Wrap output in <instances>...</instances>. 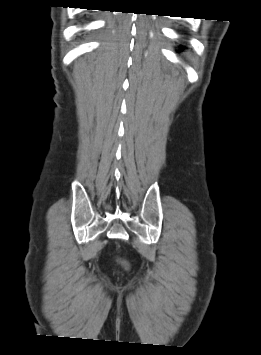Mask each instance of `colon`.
I'll use <instances>...</instances> for the list:
<instances>
[{
    "instance_id": "5ec220e1",
    "label": "colon",
    "mask_w": 261,
    "mask_h": 355,
    "mask_svg": "<svg viewBox=\"0 0 261 355\" xmlns=\"http://www.w3.org/2000/svg\"><path fill=\"white\" fill-rule=\"evenodd\" d=\"M120 263H121V264H123V265H125V264H126V263H125L124 261H122V260H120Z\"/></svg>"
}]
</instances>
